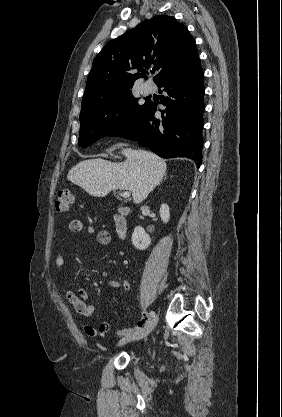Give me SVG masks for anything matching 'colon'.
<instances>
[{"mask_svg": "<svg viewBox=\"0 0 282 417\" xmlns=\"http://www.w3.org/2000/svg\"><path fill=\"white\" fill-rule=\"evenodd\" d=\"M72 204H73V194L70 188L64 187L58 192L55 198V203H54L55 210L59 213H65L66 211L69 210Z\"/></svg>", "mask_w": 282, "mask_h": 417, "instance_id": "1", "label": "colon"}]
</instances>
